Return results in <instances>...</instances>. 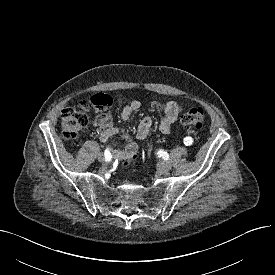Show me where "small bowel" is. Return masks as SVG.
<instances>
[{
    "label": "small bowel",
    "mask_w": 275,
    "mask_h": 275,
    "mask_svg": "<svg viewBox=\"0 0 275 275\" xmlns=\"http://www.w3.org/2000/svg\"><path fill=\"white\" fill-rule=\"evenodd\" d=\"M141 103L138 100H133L126 105L121 111V119L127 121L134 111L138 110ZM183 108L180 104L174 101H167L164 104V115L159 122V130L163 134H169L176 123L179 115ZM99 126V137L102 142H106L110 137L114 135L121 136L127 141V145L123 151L114 152L116 153L124 163L131 161L137 152V144L130 138L126 132H121L113 123L109 116H105L103 119L97 120ZM152 127V119L145 117L141 120L137 129V138L144 140Z\"/></svg>",
    "instance_id": "small-bowel-1"
}]
</instances>
